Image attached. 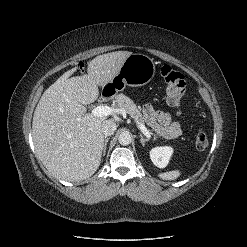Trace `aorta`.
Wrapping results in <instances>:
<instances>
[{
    "mask_svg": "<svg viewBox=\"0 0 247 247\" xmlns=\"http://www.w3.org/2000/svg\"><path fill=\"white\" fill-rule=\"evenodd\" d=\"M131 141H132V137L127 132L121 133L118 137V142L123 146L129 145Z\"/></svg>",
    "mask_w": 247,
    "mask_h": 247,
    "instance_id": "1",
    "label": "aorta"
}]
</instances>
